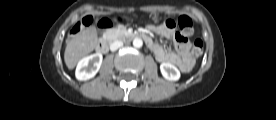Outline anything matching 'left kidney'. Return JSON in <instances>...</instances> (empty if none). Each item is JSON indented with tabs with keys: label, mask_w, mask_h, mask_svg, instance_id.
I'll return each mask as SVG.
<instances>
[{
	"label": "left kidney",
	"mask_w": 276,
	"mask_h": 120,
	"mask_svg": "<svg viewBox=\"0 0 276 120\" xmlns=\"http://www.w3.org/2000/svg\"><path fill=\"white\" fill-rule=\"evenodd\" d=\"M160 71L167 80L177 81L180 78V71L171 63H162L160 65Z\"/></svg>",
	"instance_id": "5707ae66"
}]
</instances>
